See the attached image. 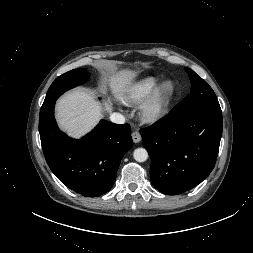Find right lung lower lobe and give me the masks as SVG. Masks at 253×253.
Here are the masks:
<instances>
[{
    "label": "right lung lower lobe",
    "mask_w": 253,
    "mask_h": 253,
    "mask_svg": "<svg viewBox=\"0 0 253 253\" xmlns=\"http://www.w3.org/2000/svg\"><path fill=\"white\" fill-rule=\"evenodd\" d=\"M55 102L42 107L39 132L45 159L51 171L71 190L97 197L108 192L124 154L132 147L128 124L101 120L79 140L61 132L54 118Z\"/></svg>",
    "instance_id": "right-lung-lower-lobe-1"
}]
</instances>
